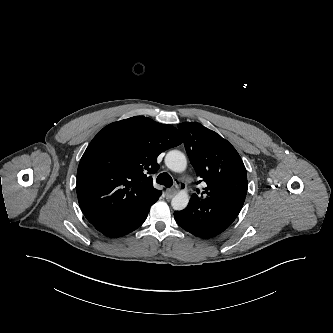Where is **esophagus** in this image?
Instances as JSON below:
<instances>
[{
	"instance_id": "1",
	"label": "esophagus",
	"mask_w": 333,
	"mask_h": 333,
	"mask_svg": "<svg viewBox=\"0 0 333 333\" xmlns=\"http://www.w3.org/2000/svg\"><path fill=\"white\" fill-rule=\"evenodd\" d=\"M177 188H178V185H176V187H174V188L167 189V191H166L167 198H172L176 194Z\"/></svg>"
}]
</instances>
